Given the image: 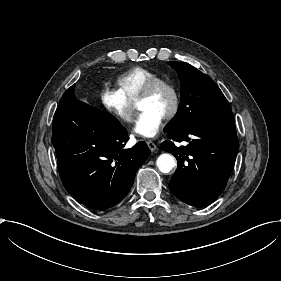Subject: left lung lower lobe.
Wrapping results in <instances>:
<instances>
[{"label": "left lung lower lobe", "instance_id": "0a47b994", "mask_svg": "<svg viewBox=\"0 0 281 281\" xmlns=\"http://www.w3.org/2000/svg\"><path fill=\"white\" fill-rule=\"evenodd\" d=\"M161 148L178 162L169 187L174 196L194 207L214 202L223 192L238 151L234 117L200 123L168 132ZM187 141L177 147L173 142Z\"/></svg>", "mask_w": 281, "mask_h": 281}]
</instances>
